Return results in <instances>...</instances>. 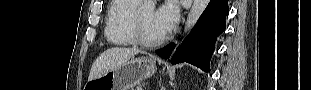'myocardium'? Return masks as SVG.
<instances>
[{
  "label": "myocardium",
  "mask_w": 311,
  "mask_h": 90,
  "mask_svg": "<svg viewBox=\"0 0 311 90\" xmlns=\"http://www.w3.org/2000/svg\"><path fill=\"white\" fill-rule=\"evenodd\" d=\"M132 31H133V36H134V40L136 44L143 46V47L151 48V47L158 46L162 44L167 38L166 34H164L163 36L155 40H150L146 38L143 32V28H142L140 10H137L133 15Z\"/></svg>",
  "instance_id": "obj_1"
}]
</instances>
